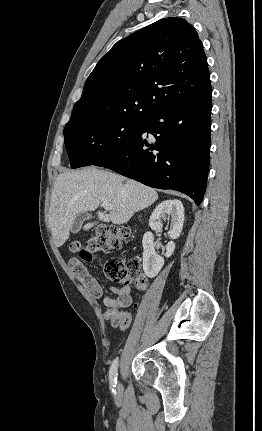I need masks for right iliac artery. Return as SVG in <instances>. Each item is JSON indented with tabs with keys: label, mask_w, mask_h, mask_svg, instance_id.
Returning <instances> with one entry per match:
<instances>
[{
	"label": "right iliac artery",
	"mask_w": 262,
	"mask_h": 431,
	"mask_svg": "<svg viewBox=\"0 0 262 431\" xmlns=\"http://www.w3.org/2000/svg\"><path fill=\"white\" fill-rule=\"evenodd\" d=\"M117 369H118V359H115L109 371V379H110L112 392H114V388L116 387V383H117Z\"/></svg>",
	"instance_id": "1"
}]
</instances>
